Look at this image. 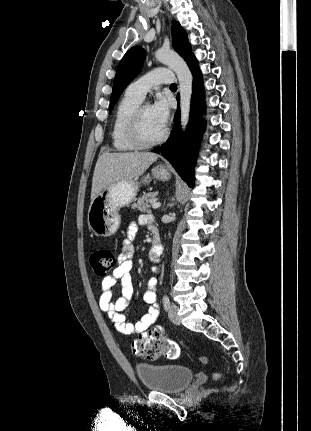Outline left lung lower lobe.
Returning <instances> with one entry per match:
<instances>
[{
	"label": "left lung lower lobe",
	"instance_id": "obj_1",
	"mask_svg": "<svg viewBox=\"0 0 311 431\" xmlns=\"http://www.w3.org/2000/svg\"><path fill=\"white\" fill-rule=\"evenodd\" d=\"M193 74V93L191 100V117L188 129L185 134L180 128V109L178 107L175 114V126L172 129L171 137L161 147L152 150L161 153L185 180L189 186L194 181V164L201 134L204 128V120L201 115L204 112V89L202 84V74L198 67L196 58L193 56L187 63ZM179 102V95L177 97Z\"/></svg>",
	"mask_w": 311,
	"mask_h": 431
}]
</instances>
